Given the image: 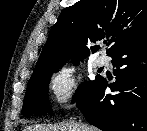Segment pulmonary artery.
<instances>
[{
  "mask_svg": "<svg viewBox=\"0 0 147 131\" xmlns=\"http://www.w3.org/2000/svg\"><path fill=\"white\" fill-rule=\"evenodd\" d=\"M95 64L97 67H103L108 64V58L105 55H100L96 58Z\"/></svg>",
  "mask_w": 147,
  "mask_h": 131,
  "instance_id": "pulmonary-artery-1",
  "label": "pulmonary artery"
}]
</instances>
